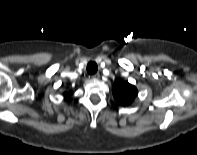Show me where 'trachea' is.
<instances>
[{"label":"trachea","instance_id":"3493384b","mask_svg":"<svg viewBox=\"0 0 197 155\" xmlns=\"http://www.w3.org/2000/svg\"><path fill=\"white\" fill-rule=\"evenodd\" d=\"M98 70V66L95 62L93 61H90L88 64H87V72L88 74H95Z\"/></svg>","mask_w":197,"mask_h":155}]
</instances>
